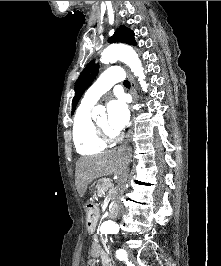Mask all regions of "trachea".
I'll return each instance as SVG.
<instances>
[{"label":"trachea","mask_w":221,"mask_h":266,"mask_svg":"<svg viewBox=\"0 0 221 266\" xmlns=\"http://www.w3.org/2000/svg\"><path fill=\"white\" fill-rule=\"evenodd\" d=\"M124 85H125L126 87H130V82H129L128 80H125V81H124Z\"/></svg>","instance_id":"trachea-1"}]
</instances>
